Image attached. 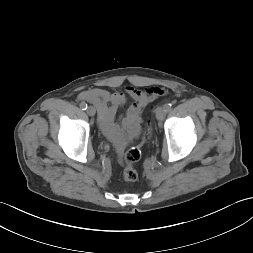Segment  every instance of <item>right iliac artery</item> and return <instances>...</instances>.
I'll list each match as a JSON object with an SVG mask.
<instances>
[{"label": "right iliac artery", "mask_w": 253, "mask_h": 253, "mask_svg": "<svg viewBox=\"0 0 253 253\" xmlns=\"http://www.w3.org/2000/svg\"><path fill=\"white\" fill-rule=\"evenodd\" d=\"M80 108H81L82 110H86V109H87V104H86L85 102H81V103H80Z\"/></svg>", "instance_id": "82829eb1"}]
</instances>
